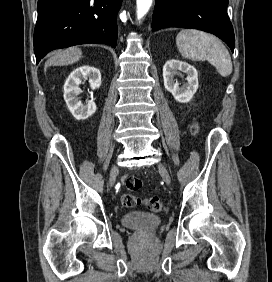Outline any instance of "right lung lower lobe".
I'll use <instances>...</instances> for the list:
<instances>
[{"mask_svg": "<svg viewBox=\"0 0 272 282\" xmlns=\"http://www.w3.org/2000/svg\"><path fill=\"white\" fill-rule=\"evenodd\" d=\"M122 0H38L34 30L37 63L48 52L78 44L116 46Z\"/></svg>", "mask_w": 272, "mask_h": 282, "instance_id": "obj_1", "label": "right lung lower lobe"}]
</instances>
